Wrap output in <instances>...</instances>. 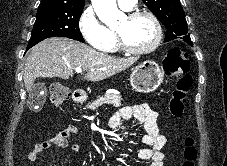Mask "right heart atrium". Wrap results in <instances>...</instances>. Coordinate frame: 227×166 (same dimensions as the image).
I'll list each match as a JSON object with an SVG mask.
<instances>
[{
    "label": "right heart atrium",
    "mask_w": 227,
    "mask_h": 166,
    "mask_svg": "<svg viewBox=\"0 0 227 166\" xmlns=\"http://www.w3.org/2000/svg\"><path fill=\"white\" fill-rule=\"evenodd\" d=\"M81 35L87 43L100 51L112 49V36L107 27L99 20L92 6L86 7L78 20Z\"/></svg>",
    "instance_id": "d8ad5b80"
}]
</instances>
